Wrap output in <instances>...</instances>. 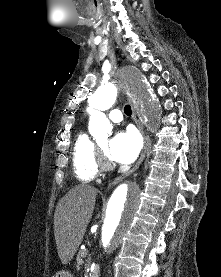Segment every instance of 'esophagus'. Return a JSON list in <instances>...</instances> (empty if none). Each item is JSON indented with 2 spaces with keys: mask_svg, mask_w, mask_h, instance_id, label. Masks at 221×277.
<instances>
[{
  "mask_svg": "<svg viewBox=\"0 0 221 277\" xmlns=\"http://www.w3.org/2000/svg\"><path fill=\"white\" fill-rule=\"evenodd\" d=\"M129 101H130L131 106H132V115H133V118H134L135 123H136L138 129L140 130V132H141V134L143 136V139H144V147H143L142 153L140 155V158L138 159V161L135 164V166L133 168H131L129 171H127V172L121 174L120 176H118L117 178H115L112 182H110L107 189H110L112 186H114L115 184L119 183L120 181H122L123 179H125L126 177H128L129 175L134 173L139 168V166L142 164V162H143V160H144V158L146 156L147 147L149 145L148 137L146 136V133L144 131V127H143V124H142L141 120L137 116L136 108H135V105H134V103L132 101L131 96H129Z\"/></svg>",
  "mask_w": 221,
  "mask_h": 277,
  "instance_id": "34e87169",
  "label": "esophagus"
}]
</instances>
